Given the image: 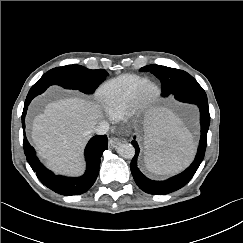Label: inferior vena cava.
Returning a JSON list of instances; mask_svg holds the SVG:
<instances>
[{
  "instance_id": "obj_1",
  "label": "inferior vena cava",
  "mask_w": 243,
  "mask_h": 243,
  "mask_svg": "<svg viewBox=\"0 0 243 243\" xmlns=\"http://www.w3.org/2000/svg\"><path fill=\"white\" fill-rule=\"evenodd\" d=\"M109 130V124L106 121H101L95 128L94 132L98 135L107 134Z\"/></svg>"
}]
</instances>
